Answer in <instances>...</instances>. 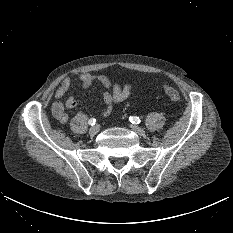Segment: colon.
<instances>
[{"mask_svg":"<svg viewBox=\"0 0 233 233\" xmlns=\"http://www.w3.org/2000/svg\"><path fill=\"white\" fill-rule=\"evenodd\" d=\"M164 91L172 101L176 103L180 102L181 95L177 89L170 87V86H165Z\"/></svg>","mask_w":233,"mask_h":233,"instance_id":"obj_1","label":"colon"}]
</instances>
